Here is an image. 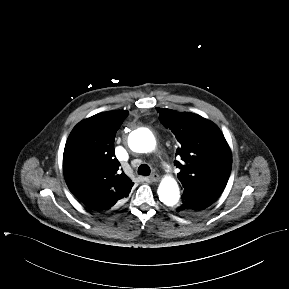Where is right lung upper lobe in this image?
I'll return each mask as SVG.
<instances>
[{
    "mask_svg": "<svg viewBox=\"0 0 289 289\" xmlns=\"http://www.w3.org/2000/svg\"><path fill=\"white\" fill-rule=\"evenodd\" d=\"M127 111L96 114L77 124L63 154V171L70 191L87 207L108 210L120 205L134 183L119 170L114 138Z\"/></svg>",
    "mask_w": 289,
    "mask_h": 289,
    "instance_id": "1",
    "label": "right lung upper lobe"
}]
</instances>
